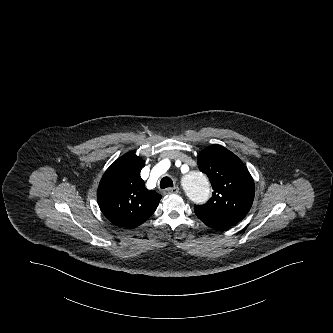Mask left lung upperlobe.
<instances>
[{"label": "left lung upper lobe", "instance_id": "obj_1", "mask_svg": "<svg viewBox=\"0 0 333 333\" xmlns=\"http://www.w3.org/2000/svg\"><path fill=\"white\" fill-rule=\"evenodd\" d=\"M198 167L207 174L213 187L208 203L195 205V214L216 230L231 227L249 212L255 184L243 162L231 151L212 145L198 155Z\"/></svg>", "mask_w": 333, "mask_h": 333}]
</instances>
